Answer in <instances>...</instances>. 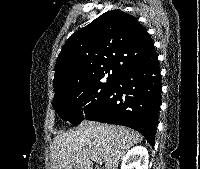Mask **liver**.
<instances>
[{
    "instance_id": "6515ba94",
    "label": "liver",
    "mask_w": 200,
    "mask_h": 169,
    "mask_svg": "<svg viewBox=\"0 0 200 169\" xmlns=\"http://www.w3.org/2000/svg\"><path fill=\"white\" fill-rule=\"evenodd\" d=\"M142 139L140 133L124 126L83 122L55 136L51 168L93 169V162L103 161L104 169H117L126 152Z\"/></svg>"
}]
</instances>
